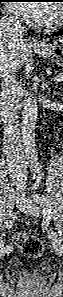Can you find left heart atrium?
<instances>
[{
    "mask_svg": "<svg viewBox=\"0 0 63 297\" xmlns=\"http://www.w3.org/2000/svg\"><path fill=\"white\" fill-rule=\"evenodd\" d=\"M14 6L19 13L35 23H41L45 19L46 10L44 9L43 5L16 3Z\"/></svg>",
    "mask_w": 63,
    "mask_h": 297,
    "instance_id": "39dd6f15",
    "label": "left heart atrium"
}]
</instances>
